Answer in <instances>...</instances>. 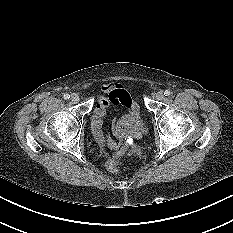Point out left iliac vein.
<instances>
[{"instance_id":"1","label":"left iliac vein","mask_w":233,"mask_h":233,"mask_svg":"<svg viewBox=\"0 0 233 233\" xmlns=\"http://www.w3.org/2000/svg\"><path fill=\"white\" fill-rule=\"evenodd\" d=\"M155 98L157 100H162L164 98V92L163 91H158L156 94H155Z\"/></svg>"}]
</instances>
